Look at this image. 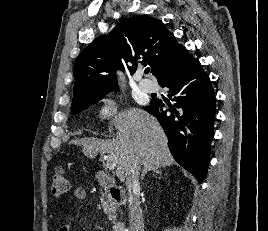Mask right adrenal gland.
I'll list each match as a JSON object with an SVG mask.
<instances>
[{"mask_svg":"<svg viewBox=\"0 0 268 231\" xmlns=\"http://www.w3.org/2000/svg\"><path fill=\"white\" fill-rule=\"evenodd\" d=\"M149 171H152L153 173H156V174H162V170L159 166H156V165H145L144 166V169L142 171V174H141V180H144V177L145 175L147 174V172Z\"/></svg>","mask_w":268,"mask_h":231,"instance_id":"2a0ac1e0","label":"right adrenal gland"}]
</instances>
